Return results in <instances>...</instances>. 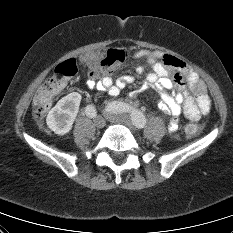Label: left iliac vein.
Returning a JSON list of instances; mask_svg holds the SVG:
<instances>
[{
	"label": "left iliac vein",
	"instance_id": "4c4485c4",
	"mask_svg": "<svg viewBox=\"0 0 233 233\" xmlns=\"http://www.w3.org/2000/svg\"><path fill=\"white\" fill-rule=\"evenodd\" d=\"M104 116L110 122L117 123V124H123L129 127L130 129H134L130 117L126 114H117V113H113V112L106 110L104 112Z\"/></svg>",
	"mask_w": 233,
	"mask_h": 233
}]
</instances>
